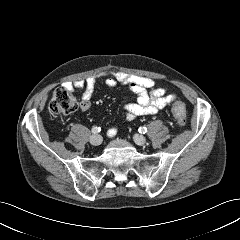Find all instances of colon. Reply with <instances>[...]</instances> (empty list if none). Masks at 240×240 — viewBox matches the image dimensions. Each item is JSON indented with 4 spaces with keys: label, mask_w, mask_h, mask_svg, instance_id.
Wrapping results in <instances>:
<instances>
[{
    "label": "colon",
    "mask_w": 240,
    "mask_h": 240,
    "mask_svg": "<svg viewBox=\"0 0 240 240\" xmlns=\"http://www.w3.org/2000/svg\"><path fill=\"white\" fill-rule=\"evenodd\" d=\"M79 107V103L70 89L59 86L52 95L49 103V113L53 117L65 116L73 113ZM171 111L173 117L179 125H185L187 122V112L181 101L174 100L172 102Z\"/></svg>",
    "instance_id": "5ec220e1"
}]
</instances>
